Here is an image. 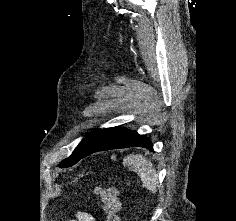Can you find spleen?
Masks as SVG:
<instances>
[{"mask_svg": "<svg viewBox=\"0 0 236 221\" xmlns=\"http://www.w3.org/2000/svg\"><path fill=\"white\" fill-rule=\"evenodd\" d=\"M123 164L139 175L145 188L151 192H156L158 175L150 160L141 154H131L123 160Z\"/></svg>", "mask_w": 236, "mask_h": 221, "instance_id": "spleen-1", "label": "spleen"}]
</instances>
